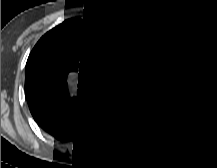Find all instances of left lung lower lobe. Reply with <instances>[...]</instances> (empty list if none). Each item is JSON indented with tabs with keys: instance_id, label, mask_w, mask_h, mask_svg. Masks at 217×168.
Returning <instances> with one entry per match:
<instances>
[{
	"instance_id": "obj_1",
	"label": "left lung lower lobe",
	"mask_w": 217,
	"mask_h": 168,
	"mask_svg": "<svg viewBox=\"0 0 217 168\" xmlns=\"http://www.w3.org/2000/svg\"><path fill=\"white\" fill-rule=\"evenodd\" d=\"M178 111L177 107L147 100L144 107L132 110V113L122 122V128L135 138L155 139L168 131L177 118Z\"/></svg>"
}]
</instances>
